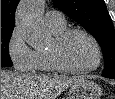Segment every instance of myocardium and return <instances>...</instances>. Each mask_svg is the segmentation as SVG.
<instances>
[{
	"label": "myocardium",
	"instance_id": "myocardium-1",
	"mask_svg": "<svg viewBox=\"0 0 115 99\" xmlns=\"http://www.w3.org/2000/svg\"><path fill=\"white\" fill-rule=\"evenodd\" d=\"M76 33L84 35L86 38L89 39V41L94 46L96 52V60L92 66L85 67V68L72 67L65 64L60 57L59 52L61 46L69 36ZM47 55L54 70L67 72V73H74V74H86V73L93 72L99 68L102 62V49L97 39L87 30L82 28H77V27L66 28L61 33L56 35L47 50Z\"/></svg>",
	"mask_w": 115,
	"mask_h": 99
}]
</instances>
